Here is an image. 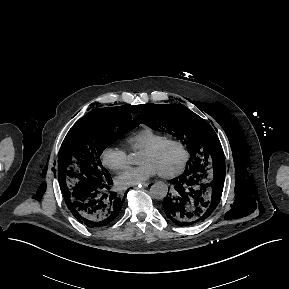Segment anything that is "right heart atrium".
<instances>
[{
  "label": "right heart atrium",
  "instance_id": "right-heart-atrium-1",
  "mask_svg": "<svg viewBox=\"0 0 289 289\" xmlns=\"http://www.w3.org/2000/svg\"><path fill=\"white\" fill-rule=\"evenodd\" d=\"M101 162L106 168L119 171L127 167L128 153L120 146L109 145L101 152Z\"/></svg>",
  "mask_w": 289,
  "mask_h": 289
}]
</instances>
